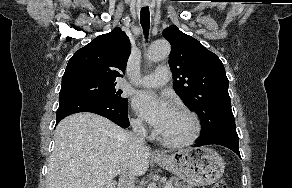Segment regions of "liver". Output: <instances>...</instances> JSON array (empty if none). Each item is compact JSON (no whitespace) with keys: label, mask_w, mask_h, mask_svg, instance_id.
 <instances>
[{"label":"liver","mask_w":292,"mask_h":188,"mask_svg":"<svg viewBox=\"0 0 292 188\" xmlns=\"http://www.w3.org/2000/svg\"><path fill=\"white\" fill-rule=\"evenodd\" d=\"M149 159L148 147L131 148L127 132L110 120L93 113L73 114L55 129L47 188H109L123 171L145 174Z\"/></svg>","instance_id":"liver-1"}]
</instances>
